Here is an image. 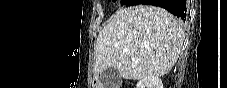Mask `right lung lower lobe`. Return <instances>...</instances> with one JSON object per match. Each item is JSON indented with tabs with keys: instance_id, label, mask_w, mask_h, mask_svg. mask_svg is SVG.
I'll return each mask as SVG.
<instances>
[{
	"instance_id": "1",
	"label": "right lung lower lobe",
	"mask_w": 227,
	"mask_h": 88,
	"mask_svg": "<svg viewBox=\"0 0 227 88\" xmlns=\"http://www.w3.org/2000/svg\"><path fill=\"white\" fill-rule=\"evenodd\" d=\"M139 4L162 7L184 21L187 18V0H141Z\"/></svg>"
}]
</instances>
